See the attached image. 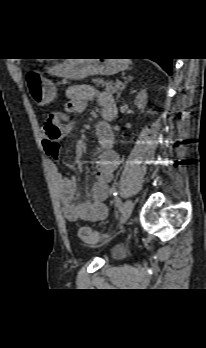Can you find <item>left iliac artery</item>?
I'll list each match as a JSON object with an SVG mask.
<instances>
[{"label":"left iliac artery","instance_id":"left-iliac-artery-1","mask_svg":"<svg viewBox=\"0 0 206 348\" xmlns=\"http://www.w3.org/2000/svg\"><path fill=\"white\" fill-rule=\"evenodd\" d=\"M111 193H112L113 195H118V191H117L115 188H113V189L111 190Z\"/></svg>","mask_w":206,"mask_h":348}]
</instances>
